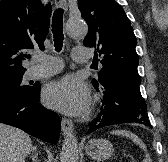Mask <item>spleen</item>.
<instances>
[{"mask_svg": "<svg viewBox=\"0 0 168 162\" xmlns=\"http://www.w3.org/2000/svg\"><path fill=\"white\" fill-rule=\"evenodd\" d=\"M111 134L126 136V137L130 138L134 143L139 145V147L146 152V156H145V159L143 160V162H152L150 155L147 153V149H146L145 144L137 135L131 133L130 131H126V130H113L111 132Z\"/></svg>", "mask_w": 168, "mask_h": 162, "instance_id": "3e777b00", "label": "spleen"}]
</instances>
